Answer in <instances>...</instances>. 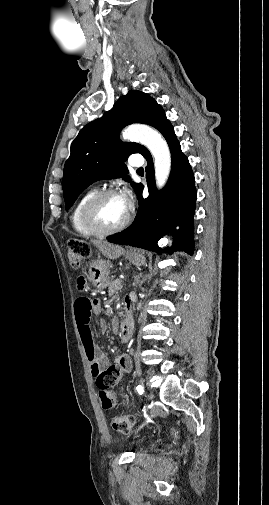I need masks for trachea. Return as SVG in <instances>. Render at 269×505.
<instances>
[{
	"mask_svg": "<svg viewBox=\"0 0 269 505\" xmlns=\"http://www.w3.org/2000/svg\"><path fill=\"white\" fill-rule=\"evenodd\" d=\"M137 171L138 172H143L144 170H143V168H139Z\"/></svg>",
	"mask_w": 269,
	"mask_h": 505,
	"instance_id": "3493384b",
	"label": "trachea"
}]
</instances>
